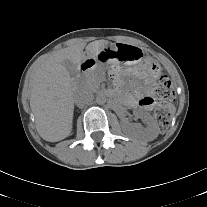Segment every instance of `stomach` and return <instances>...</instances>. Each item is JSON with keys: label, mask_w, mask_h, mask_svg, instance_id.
Returning <instances> with one entry per match:
<instances>
[{"label": "stomach", "mask_w": 207, "mask_h": 207, "mask_svg": "<svg viewBox=\"0 0 207 207\" xmlns=\"http://www.w3.org/2000/svg\"><path fill=\"white\" fill-rule=\"evenodd\" d=\"M145 60V53L140 48L124 43L106 46L95 59L99 64L118 63L123 65H136Z\"/></svg>", "instance_id": "obj_1"}]
</instances>
